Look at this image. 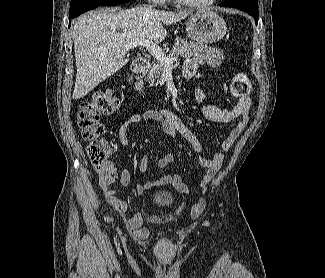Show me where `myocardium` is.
<instances>
[{
	"mask_svg": "<svg viewBox=\"0 0 325 278\" xmlns=\"http://www.w3.org/2000/svg\"><path fill=\"white\" fill-rule=\"evenodd\" d=\"M177 3H179L182 6L191 7V8H207L213 5L217 0H206L203 2H195L192 0H175Z\"/></svg>",
	"mask_w": 325,
	"mask_h": 278,
	"instance_id": "obj_1",
	"label": "myocardium"
}]
</instances>
